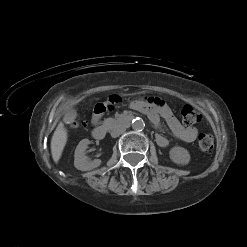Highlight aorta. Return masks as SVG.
I'll return each mask as SVG.
<instances>
[{
  "label": "aorta",
  "mask_w": 247,
  "mask_h": 247,
  "mask_svg": "<svg viewBox=\"0 0 247 247\" xmlns=\"http://www.w3.org/2000/svg\"><path fill=\"white\" fill-rule=\"evenodd\" d=\"M144 127H145V123L142 118L137 117L132 120V128L134 130L141 131L144 129Z\"/></svg>",
  "instance_id": "762f6f07"
}]
</instances>
